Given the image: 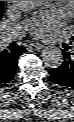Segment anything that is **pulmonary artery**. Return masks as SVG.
Masks as SVG:
<instances>
[{
	"label": "pulmonary artery",
	"mask_w": 74,
	"mask_h": 122,
	"mask_svg": "<svg viewBox=\"0 0 74 122\" xmlns=\"http://www.w3.org/2000/svg\"><path fill=\"white\" fill-rule=\"evenodd\" d=\"M18 36H19L18 31H12V32L5 33L3 35V41L6 43H9V42L14 41Z\"/></svg>",
	"instance_id": "obj_1"
}]
</instances>
